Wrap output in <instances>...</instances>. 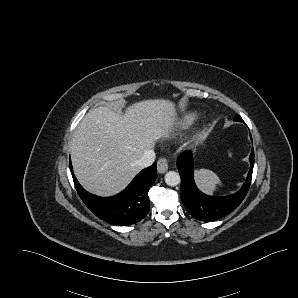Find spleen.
Returning a JSON list of instances; mask_svg holds the SVG:
<instances>
[{
	"label": "spleen",
	"mask_w": 298,
	"mask_h": 298,
	"mask_svg": "<svg viewBox=\"0 0 298 298\" xmlns=\"http://www.w3.org/2000/svg\"><path fill=\"white\" fill-rule=\"evenodd\" d=\"M229 156L231 157L232 154L229 153ZM194 176L198 188L208 195H212L216 186L221 184L220 178L208 169L195 170Z\"/></svg>",
	"instance_id": "1"
}]
</instances>
